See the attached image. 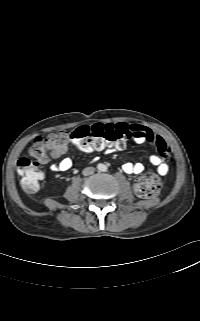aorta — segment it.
I'll return each instance as SVG.
<instances>
[{
	"mask_svg": "<svg viewBox=\"0 0 200 321\" xmlns=\"http://www.w3.org/2000/svg\"><path fill=\"white\" fill-rule=\"evenodd\" d=\"M106 166L104 165V164H99L98 165V170H100V171H106Z\"/></svg>",
	"mask_w": 200,
	"mask_h": 321,
	"instance_id": "aorta-1",
	"label": "aorta"
}]
</instances>
